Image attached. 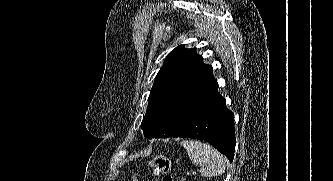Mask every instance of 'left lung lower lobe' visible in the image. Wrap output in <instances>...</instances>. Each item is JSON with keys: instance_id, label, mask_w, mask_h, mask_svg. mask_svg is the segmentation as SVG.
I'll use <instances>...</instances> for the list:
<instances>
[{"instance_id": "0a47b994", "label": "left lung lower lobe", "mask_w": 333, "mask_h": 181, "mask_svg": "<svg viewBox=\"0 0 333 181\" xmlns=\"http://www.w3.org/2000/svg\"><path fill=\"white\" fill-rule=\"evenodd\" d=\"M172 137H187L208 142L232 162L235 150L234 115L218 87L209 102L195 113ZM154 138H161L158 136Z\"/></svg>"}]
</instances>
